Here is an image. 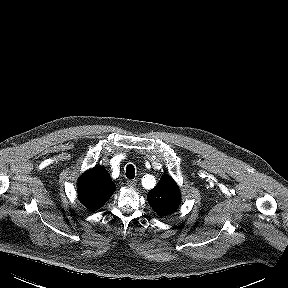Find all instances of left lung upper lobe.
Wrapping results in <instances>:
<instances>
[{
    "label": "left lung upper lobe",
    "mask_w": 288,
    "mask_h": 288,
    "mask_svg": "<svg viewBox=\"0 0 288 288\" xmlns=\"http://www.w3.org/2000/svg\"><path fill=\"white\" fill-rule=\"evenodd\" d=\"M179 191L175 181L166 174L160 179L158 184L149 191V204L160 216L172 214L181 203Z\"/></svg>",
    "instance_id": "1"
}]
</instances>
